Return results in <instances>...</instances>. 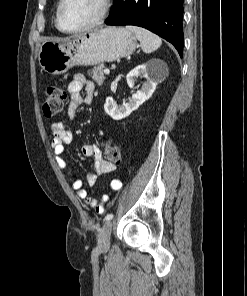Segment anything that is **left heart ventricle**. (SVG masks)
Here are the masks:
<instances>
[{"mask_svg":"<svg viewBox=\"0 0 247 296\" xmlns=\"http://www.w3.org/2000/svg\"><path fill=\"white\" fill-rule=\"evenodd\" d=\"M99 0H66L61 9V26L72 30L84 27L98 15Z\"/></svg>","mask_w":247,"mask_h":296,"instance_id":"left-heart-ventricle-1","label":"left heart ventricle"}]
</instances>
